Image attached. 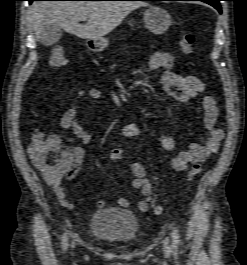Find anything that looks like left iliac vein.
Segmentation results:
<instances>
[{
  "label": "left iliac vein",
  "instance_id": "1",
  "mask_svg": "<svg viewBox=\"0 0 247 265\" xmlns=\"http://www.w3.org/2000/svg\"><path fill=\"white\" fill-rule=\"evenodd\" d=\"M163 251L166 256H169L170 254V245H169V239L166 238L163 242Z\"/></svg>",
  "mask_w": 247,
  "mask_h": 265
}]
</instances>
